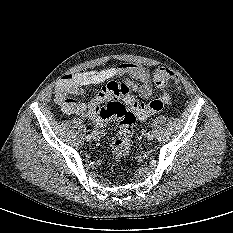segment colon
<instances>
[{
	"label": "colon",
	"instance_id": "obj_1",
	"mask_svg": "<svg viewBox=\"0 0 233 233\" xmlns=\"http://www.w3.org/2000/svg\"><path fill=\"white\" fill-rule=\"evenodd\" d=\"M153 81L161 89V93L156 99L147 102L138 101L125 86H121L123 102L112 100L104 107L94 105L90 110L91 118L95 123H106L112 118L120 119V134L112 146L114 163L119 162L130 152L132 126L136 118L145 119L151 114L161 111L169 100V87L172 83H175L180 89L176 76L167 68H157L153 73Z\"/></svg>",
	"mask_w": 233,
	"mask_h": 233
}]
</instances>
